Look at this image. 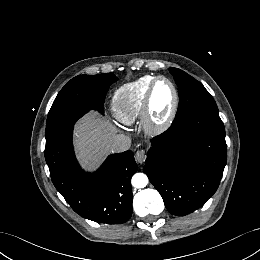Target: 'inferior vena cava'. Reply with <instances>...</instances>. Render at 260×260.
Returning a JSON list of instances; mask_svg holds the SVG:
<instances>
[{
    "mask_svg": "<svg viewBox=\"0 0 260 260\" xmlns=\"http://www.w3.org/2000/svg\"><path fill=\"white\" fill-rule=\"evenodd\" d=\"M131 146V139L123 134L115 135L111 141V149L114 152H124Z\"/></svg>",
    "mask_w": 260,
    "mask_h": 260,
    "instance_id": "1",
    "label": "inferior vena cava"
}]
</instances>
